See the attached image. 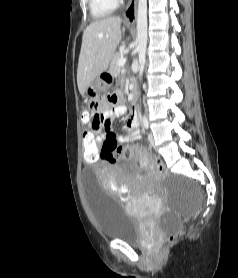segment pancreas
I'll use <instances>...</instances> for the list:
<instances>
[{
    "label": "pancreas",
    "instance_id": "obj_1",
    "mask_svg": "<svg viewBox=\"0 0 238 278\" xmlns=\"http://www.w3.org/2000/svg\"><path fill=\"white\" fill-rule=\"evenodd\" d=\"M123 57L122 52H116L110 62L109 73L116 76L119 73L120 67L118 66V61Z\"/></svg>",
    "mask_w": 238,
    "mask_h": 278
}]
</instances>
